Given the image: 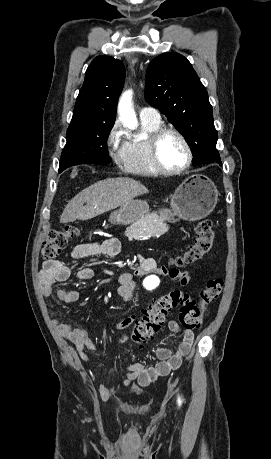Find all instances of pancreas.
Listing matches in <instances>:
<instances>
[{
  "label": "pancreas",
  "instance_id": "pancreas-1",
  "mask_svg": "<svg viewBox=\"0 0 271 459\" xmlns=\"http://www.w3.org/2000/svg\"><path fill=\"white\" fill-rule=\"evenodd\" d=\"M141 228H137V224H133L131 228H127L126 235H131L134 239H156L161 233L167 231L168 226L164 224V220L156 216L141 221ZM135 229V230H134Z\"/></svg>",
  "mask_w": 271,
  "mask_h": 459
}]
</instances>
